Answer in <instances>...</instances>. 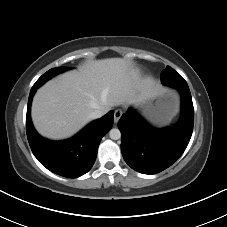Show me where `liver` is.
Here are the masks:
<instances>
[{"label": "liver", "instance_id": "1", "mask_svg": "<svg viewBox=\"0 0 227 227\" xmlns=\"http://www.w3.org/2000/svg\"><path fill=\"white\" fill-rule=\"evenodd\" d=\"M132 62L109 58L85 63L48 81L35 94L31 116L44 137L64 139L74 135L90 120V113L129 105L145 99Z\"/></svg>", "mask_w": 227, "mask_h": 227}]
</instances>
